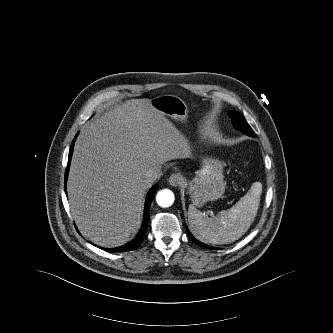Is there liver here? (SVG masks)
Here are the masks:
<instances>
[{
  "label": "liver",
  "mask_w": 333,
  "mask_h": 333,
  "mask_svg": "<svg viewBox=\"0 0 333 333\" xmlns=\"http://www.w3.org/2000/svg\"><path fill=\"white\" fill-rule=\"evenodd\" d=\"M185 157L178 130L150 99L117 104L78 136L68 197L81 234L102 247L129 241L141 224L146 172Z\"/></svg>",
  "instance_id": "liver-1"
}]
</instances>
